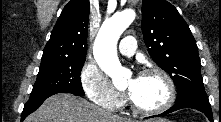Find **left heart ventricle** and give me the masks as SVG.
I'll return each instance as SVG.
<instances>
[{
	"label": "left heart ventricle",
	"instance_id": "left-heart-ventricle-1",
	"mask_svg": "<svg viewBox=\"0 0 221 122\" xmlns=\"http://www.w3.org/2000/svg\"><path fill=\"white\" fill-rule=\"evenodd\" d=\"M125 89L138 106L147 109L160 106L167 96L165 83L158 75L130 78Z\"/></svg>",
	"mask_w": 221,
	"mask_h": 122
}]
</instances>
